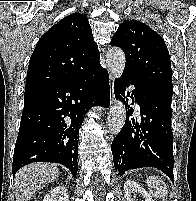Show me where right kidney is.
Masks as SVG:
<instances>
[{
	"label": "right kidney",
	"mask_w": 196,
	"mask_h": 201,
	"mask_svg": "<svg viewBox=\"0 0 196 201\" xmlns=\"http://www.w3.org/2000/svg\"><path fill=\"white\" fill-rule=\"evenodd\" d=\"M68 190L64 186H57L47 193L43 201H68Z\"/></svg>",
	"instance_id": "1"
}]
</instances>
